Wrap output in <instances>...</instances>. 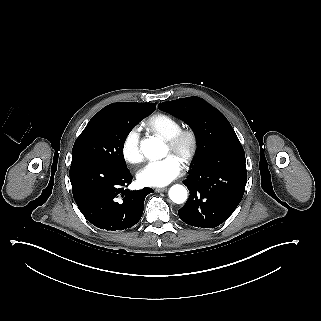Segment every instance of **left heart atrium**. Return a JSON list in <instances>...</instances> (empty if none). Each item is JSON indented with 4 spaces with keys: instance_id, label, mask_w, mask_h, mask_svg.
<instances>
[{
    "instance_id": "39dd6f15",
    "label": "left heart atrium",
    "mask_w": 321,
    "mask_h": 321,
    "mask_svg": "<svg viewBox=\"0 0 321 321\" xmlns=\"http://www.w3.org/2000/svg\"><path fill=\"white\" fill-rule=\"evenodd\" d=\"M184 170L181 159L175 155L147 163L137 174L144 186L163 187L179 177Z\"/></svg>"
}]
</instances>
